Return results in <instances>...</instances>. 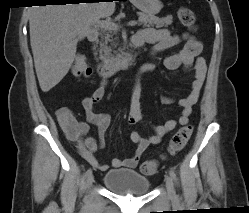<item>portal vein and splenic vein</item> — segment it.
<instances>
[{
    "label": "portal vein and splenic vein",
    "instance_id": "18ae733b",
    "mask_svg": "<svg viewBox=\"0 0 249 213\" xmlns=\"http://www.w3.org/2000/svg\"><path fill=\"white\" fill-rule=\"evenodd\" d=\"M137 21L135 20H132V21H129L128 22V25L129 26H135L137 25ZM95 26L96 27H100V28H103V29H111V30H114V31H117L119 29V25L118 24H115L111 21H107V20H102V21H97L95 23Z\"/></svg>",
    "mask_w": 249,
    "mask_h": 213
}]
</instances>
